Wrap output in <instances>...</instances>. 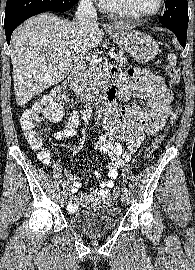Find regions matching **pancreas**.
<instances>
[{"instance_id": "cf45deb5", "label": "pancreas", "mask_w": 195, "mask_h": 270, "mask_svg": "<svg viewBox=\"0 0 195 270\" xmlns=\"http://www.w3.org/2000/svg\"><path fill=\"white\" fill-rule=\"evenodd\" d=\"M115 62L118 66L123 67L127 64V56L123 53H117ZM82 76L86 83L96 85L103 78L102 65L98 61H91Z\"/></svg>"}]
</instances>
